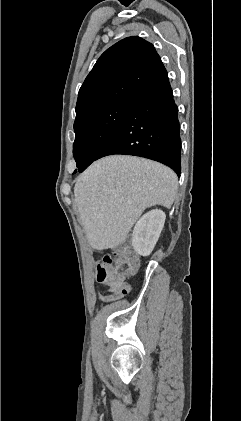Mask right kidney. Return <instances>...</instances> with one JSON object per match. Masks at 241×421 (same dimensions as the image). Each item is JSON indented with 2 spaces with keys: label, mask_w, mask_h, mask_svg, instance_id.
Segmentation results:
<instances>
[{
  "label": "right kidney",
  "mask_w": 241,
  "mask_h": 421,
  "mask_svg": "<svg viewBox=\"0 0 241 421\" xmlns=\"http://www.w3.org/2000/svg\"><path fill=\"white\" fill-rule=\"evenodd\" d=\"M166 215L162 210H151L136 223L132 234V246L136 253L148 256L154 249L164 227Z\"/></svg>",
  "instance_id": "right-kidney-1"
}]
</instances>
